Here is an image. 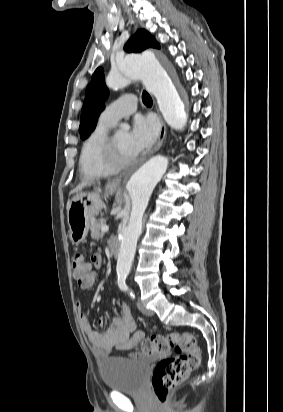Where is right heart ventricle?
<instances>
[{
    "label": "right heart ventricle",
    "mask_w": 283,
    "mask_h": 412,
    "mask_svg": "<svg viewBox=\"0 0 283 412\" xmlns=\"http://www.w3.org/2000/svg\"><path fill=\"white\" fill-rule=\"evenodd\" d=\"M112 125L99 122L85 139L79 157V172L83 178L108 176L115 172L104 160V149Z\"/></svg>",
    "instance_id": "right-heart-ventricle-1"
}]
</instances>
